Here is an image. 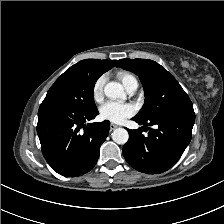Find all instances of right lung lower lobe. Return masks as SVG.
Wrapping results in <instances>:
<instances>
[{"label":"right lung lower lobe","mask_w":224,"mask_h":224,"mask_svg":"<svg viewBox=\"0 0 224 224\" xmlns=\"http://www.w3.org/2000/svg\"><path fill=\"white\" fill-rule=\"evenodd\" d=\"M98 114V110L82 112L53 101L42 102L37 133L43 156L58 174L80 176L95 166L110 122L84 123Z\"/></svg>","instance_id":"obj_1"}]
</instances>
